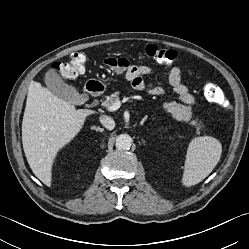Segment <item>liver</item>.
I'll use <instances>...</instances> for the list:
<instances>
[{
    "mask_svg": "<svg viewBox=\"0 0 249 249\" xmlns=\"http://www.w3.org/2000/svg\"><path fill=\"white\" fill-rule=\"evenodd\" d=\"M93 113L76 110L39 82L29 86L22 122L23 149L31 170L48 187L57 153L78 135L86 117Z\"/></svg>",
    "mask_w": 249,
    "mask_h": 249,
    "instance_id": "1",
    "label": "liver"
}]
</instances>
